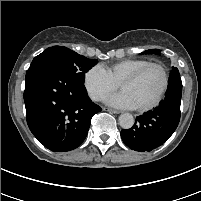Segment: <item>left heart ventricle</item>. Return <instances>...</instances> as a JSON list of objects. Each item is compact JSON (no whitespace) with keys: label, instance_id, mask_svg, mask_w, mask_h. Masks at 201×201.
Returning <instances> with one entry per match:
<instances>
[{"label":"left heart ventricle","instance_id":"obj_1","mask_svg":"<svg viewBox=\"0 0 201 201\" xmlns=\"http://www.w3.org/2000/svg\"><path fill=\"white\" fill-rule=\"evenodd\" d=\"M162 85V72L159 68L152 67L134 82L124 85L121 90L130 97L135 107H138L152 102L159 94Z\"/></svg>","mask_w":201,"mask_h":201}]
</instances>
